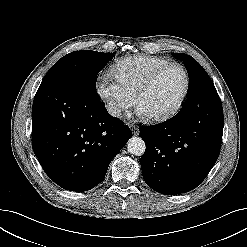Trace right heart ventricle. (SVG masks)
<instances>
[{"label": "right heart ventricle", "mask_w": 247, "mask_h": 247, "mask_svg": "<svg viewBox=\"0 0 247 247\" xmlns=\"http://www.w3.org/2000/svg\"><path fill=\"white\" fill-rule=\"evenodd\" d=\"M168 63V60L156 56H131L117 61L109 73L130 96H134L138 86L154 70Z\"/></svg>", "instance_id": "e07e8e85"}]
</instances>
